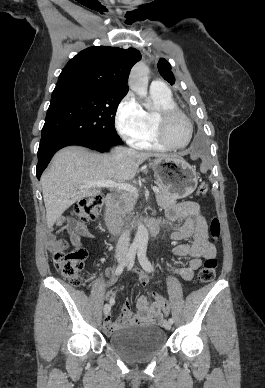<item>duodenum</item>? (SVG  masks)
<instances>
[{
    "mask_svg": "<svg viewBox=\"0 0 265 388\" xmlns=\"http://www.w3.org/2000/svg\"><path fill=\"white\" fill-rule=\"evenodd\" d=\"M116 198H117L116 194L108 193L105 196V201H104L105 202V211H104L105 222L109 231L113 234H119L125 228V224L123 223V221L121 220L120 216L116 211V207H115ZM140 224L143 225L147 229V231L153 236L157 235L162 228V222L157 218H149ZM137 226H139V223H135L132 225L133 228Z\"/></svg>",
    "mask_w": 265,
    "mask_h": 388,
    "instance_id": "duodenum-1",
    "label": "duodenum"
}]
</instances>
